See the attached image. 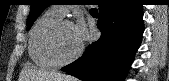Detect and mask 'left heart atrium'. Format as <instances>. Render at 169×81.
<instances>
[{
  "mask_svg": "<svg viewBox=\"0 0 169 81\" xmlns=\"http://www.w3.org/2000/svg\"><path fill=\"white\" fill-rule=\"evenodd\" d=\"M73 30L77 41L81 44L86 37V25L82 20H79L73 25Z\"/></svg>",
  "mask_w": 169,
  "mask_h": 81,
  "instance_id": "39dd6f15",
  "label": "left heart atrium"
}]
</instances>
